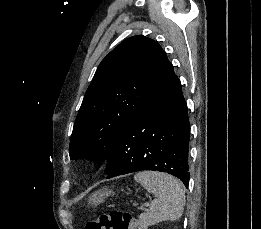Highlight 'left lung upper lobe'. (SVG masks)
<instances>
[{
	"instance_id": "obj_1",
	"label": "left lung upper lobe",
	"mask_w": 261,
	"mask_h": 229,
	"mask_svg": "<svg viewBox=\"0 0 261 229\" xmlns=\"http://www.w3.org/2000/svg\"><path fill=\"white\" fill-rule=\"evenodd\" d=\"M173 74L156 41L137 35L121 42L102 60L85 93L70 139V158H109L132 117Z\"/></svg>"
}]
</instances>
